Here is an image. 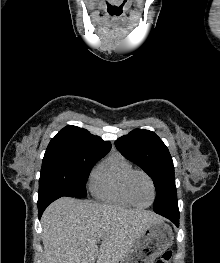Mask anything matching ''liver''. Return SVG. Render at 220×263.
<instances>
[{
  "mask_svg": "<svg viewBox=\"0 0 220 263\" xmlns=\"http://www.w3.org/2000/svg\"><path fill=\"white\" fill-rule=\"evenodd\" d=\"M161 220L152 211L59 198L41 218L44 263H121L140 234Z\"/></svg>",
  "mask_w": 220,
  "mask_h": 263,
  "instance_id": "liver-1",
  "label": "liver"
}]
</instances>
